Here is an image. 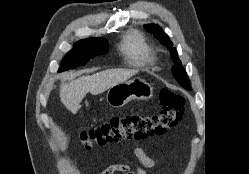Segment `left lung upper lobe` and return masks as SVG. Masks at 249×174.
<instances>
[{
	"label": "left lung upper lobe",
	"instance_id": "obj_1",
	"mask_svg": "<svg viewBox=\"0 0 249 174\" xmlns=\"http://www.w3.org/2000/svg\"><path fill=\"white\" fill-rule=\"evenodd\" d=\"M144 28L149 32L153 33L154 36L170 50L171 59L175 63L172 68V73L175 79L180 83V85L188 90H192L189 83V78L185 72V69L182 68V64L178 58L177 51L175 48H172L173 44L170 41L169 37L163 32V30L155 24H147Z\"/></svg>",
	"mask_w": 249,
	"mask_h": 174
}]
</instances>
